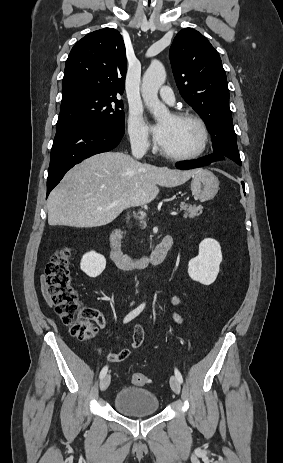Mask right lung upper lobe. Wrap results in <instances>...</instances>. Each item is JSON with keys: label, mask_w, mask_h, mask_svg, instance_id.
<instances>
[{"label": "right lung upper lobe", "mask_w": 283, "mask_h": 463, "mask_svg": "<svg viewBox=\"0 0 283 463\" xmlns=\"http://www.w3.org/2000/svg\"><path fill=\"white\" fill-rule=\"evenodd\" d=\"M126 69L119 31L104 28L89 33L73 46L66 60L61 104L90 94L122 95Z\"/></svg>", "instance_id": "obj_1"}]
</instances>
